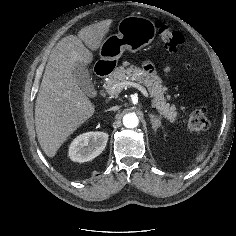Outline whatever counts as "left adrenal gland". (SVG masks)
Listing matches in <instances>:
<instances>
[{"label":"left adrenal gland","mask_w":236,"mask_h":236,"mask_svg":"<svg viewBox=\"0 0 236 236\" xmlns=\"http://www.w3.org/2000/svg\"><path fill=\"white\" fill-rule=\"evenodd\" d=\"M149 117H150V120H151V123H152V128L154 131H157V129L159 127H161V121L159 118H157L155 115L153 114H149Z\"/></svg>","instance_id":"left-adrenal-gland-1"}]
</instances>
